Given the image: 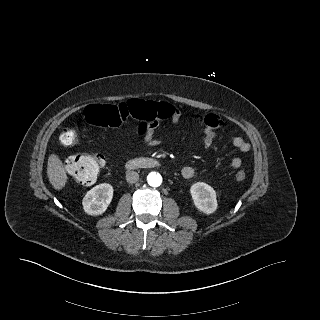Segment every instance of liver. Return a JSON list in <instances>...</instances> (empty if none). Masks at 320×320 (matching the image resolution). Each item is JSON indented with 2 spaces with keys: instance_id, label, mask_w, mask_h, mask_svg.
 <instances>
[{
  "instance_id": "liver-1",
  "label": "liver",
  "mask_w": 320,
  "mask_h": 320,
  "mask_svg": "<svg viewBox=\"0 0 320 320\" xmlns=\"http://www.w3.org/2000/svg\"><path fill=\"white\" fill-rule=\"evenodd\" d=\"M47 175L56 190L62 189L68 180L63 163L56 154H51L47 163Z\"/></svg>"
}]
</instances>
